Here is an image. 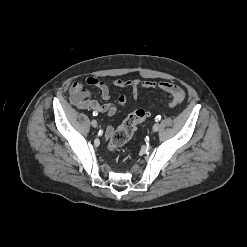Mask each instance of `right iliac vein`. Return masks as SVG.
<instances>
[{
  "instance_id": "63e3f726",
  "label": "right iliac vein",
  "mask_w": 247,
  "mask_h": 247,
  "mask_svg": "<svg viewBox=\"0 0 247 247\" xmlns=\"http://www.w3.org/2000/svg\"><path fill=\"white\" fill-rule=\"evenodd\" d=\"M91 125L96 128L97 127V121L96 120H92L91 121Z\"/></svg>"
}]
</instances>
